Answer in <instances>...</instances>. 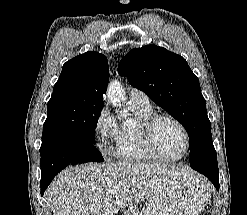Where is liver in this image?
Wrapping results in <instances>:
<instances>
[{
    "label": "liver",
    "mask_w": 247,
    "mask_h": 215,
    "mask_svg": "<svg viewBox=\"0 0 247 215\" xmlns=\"http://www.w3.org/2000/svg\"><path fill=\"white\" fill-rule=\"evenodd\" d=\"M183 170L164 163L85 164L63 170L45 194L53 215H115L149 198Z\"/></svg>",
    "instance_id": "1"
}]
</instances>
